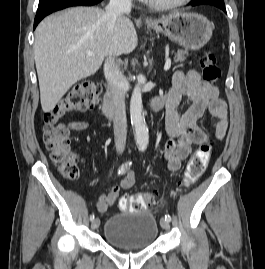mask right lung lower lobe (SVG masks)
Here are the masks:
<instances>
[{"label": "right lung lower lobe", "mask_w": 265, "mask_h": 269, "mask_svg": "<svg viewBox=\"0 0 265 269\" xmlns=\"http://www.w3.org/2000/svg\"><path fill=\"white\" fill-rule=\"evenodd\" d=\"M102 0H40L37 14L34 20V29L38 23L48 14L70 6H91Z\"/></svg>", "instance_id": "right-lung-lower-lobe-1"}]
</instances>
